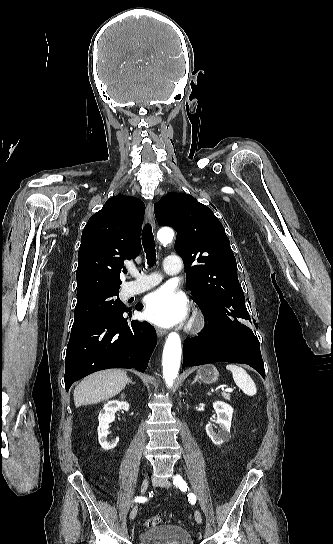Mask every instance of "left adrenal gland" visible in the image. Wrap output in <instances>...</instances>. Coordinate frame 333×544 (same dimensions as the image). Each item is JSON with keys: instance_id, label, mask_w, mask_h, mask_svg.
Masks as SVG:
<instances>
[{"instance_id": "a2214340", "label": "left adrenal gland", "mask_w": 333, "mask_h": 544, "mask_svg": "<svg viewBox=\"0 0 333 544\" xmlns=\"http://www.w3.org/2000/svg\"><path fill=\"white\" fill-rule=\"evenodd\" d=\"M195 382H199V383H200V381L198 380V377H197V376L195 377V379H194V381L191 383V385H193Z\"/></svg>"}]
</instances>
